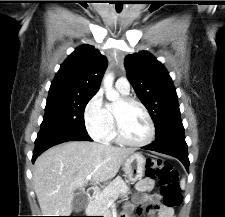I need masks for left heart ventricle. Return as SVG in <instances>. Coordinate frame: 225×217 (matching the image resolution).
I'll return each mask as SVG.
<instances>
[{
  "mask_svg": "<svg viewBox=\"0 0 225 217\" xmlns=\"http://www.w3.org/2000/svg\"><path fill=\"white\" fill-rule=\"evenodd\" d=\"M123 133L132 142H142L149 135V124L143 111L136 105H124L120 100L116 105Z\"/></svg>",
  "mask_w": 225,
  "mask_h": 217,
  "instance_id": "1",
  "label": "left heart ventricle"
}]
</instances>
